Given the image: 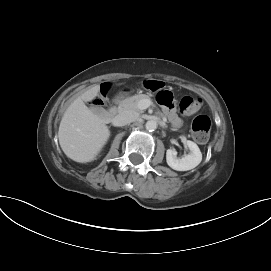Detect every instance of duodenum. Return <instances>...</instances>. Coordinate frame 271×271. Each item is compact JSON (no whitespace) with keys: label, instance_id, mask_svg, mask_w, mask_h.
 <instances>
[{"label":"duodenum","instance_id":"duodenum-1","mask_svg":"<svg viewBox=\"0 0 271 271\" xmlns=\"http://www.w3.org/2000/svg\"><path fill=\"white\" fill-rule=\"evenodd\" d=\"M116 113H117V108L115 106L110 107L106 113V119L108 121H112Z\"/></svg>","mask_w":271,"mask_h":271}]
</instances>
